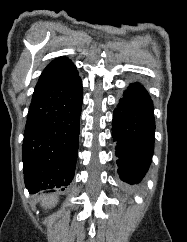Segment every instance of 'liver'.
Returning a JSON list of instances; mask_svg holds the SVG:
<instances>
[{
	"label": "liver",
	"mask_w": 187,
	"mask_h": 242,
	"mask_svg": "<svg viewBox=\"0 0 187 242\" xmlns=\"http://www.w3.org/2000/svg\"><path fill=\"white\" fill-rule=\"evenodd\" d=\"M58 202V198L54 195L47 196L43 199L41 205L46 208L54 207Z\"/></svg>",
	"instance_id": "1"
}]
</instances>
